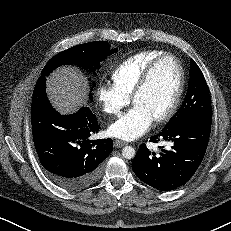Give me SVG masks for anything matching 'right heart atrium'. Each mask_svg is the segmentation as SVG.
<instances>
[{
	"instance_id": "d8ad5b80",
	"label": "right heart atrium",
	"mask_w": 231,
	"mask_h": 231,
	"mask_svg": "<svg viewBox=\"0 0 231 231\" xmlns=\"http://www.w3.org/2000/svg\"><path fill=\"white\" fill-rule=\"evenodd\" d=\"M96 95L103 111L109 115H119L122 109L130 103V97L124 95L111 83L100 84Z\"/></svg>"
}]
</instances>
